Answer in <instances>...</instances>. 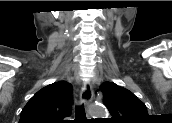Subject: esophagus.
Listing matches in <instances>:
<instances>
[{
  "instance_id": "obj_1",
  "label": "esophagus",
  "mask_w": 172,
  "mask_h": 123,
  "mask_svg": "<svg viewBox=\"0 0 172 123\" xmlns=\"http://www.w3.org/2000/svg\"><path fill=\"white\" fill-rule=\"evenodd\" d=\"M93 95L92 85L89 82L85 83L80 92V102L84 103L85 106H89L93 100ZM86 118L91 119V116L87 113Z\"/></svg>"
}]
</instances>
